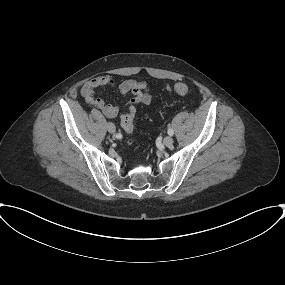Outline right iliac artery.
<instances>
[{
    "mask_svg": "<svg viewBox=\"0 0 285 285\" xmlns=\"http://www.w3.org/2000/svg\"><path fill=\"white\" fill-rule=\"evenodd\" d=\"M116 137H117L118 139H121V138H122L121 133H117V134H116Z\"/></svg>",
    "mask_w": 285,
    "mask_h": 285,
    "instance_id": "82829eb1",
    "label": "right iliac artery"
}]
</instances>
